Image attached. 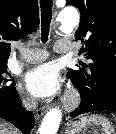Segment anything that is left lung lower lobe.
<instances>
[{"mask_svg": "<svg viewBox=\"0 0 116 134\" xmlns=\"http://www.w3.org/2000/svg\"><path fill=\"white\" fill-rule=\"evenodd\" d=\"M71 79L81 94V103L79 107L70 114L71 117L89 112L116 111V80L111 81L113 90L102 92L97 96L88 98L81 93L77 81L73 77H71Z\"/></svg>", "mask_w": 116, "mask_h": 134, "instance_id": "obj_1", "label": "left lung lower lobe"}]
</instances>
